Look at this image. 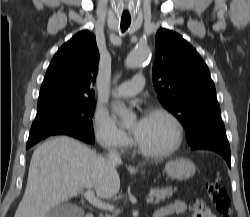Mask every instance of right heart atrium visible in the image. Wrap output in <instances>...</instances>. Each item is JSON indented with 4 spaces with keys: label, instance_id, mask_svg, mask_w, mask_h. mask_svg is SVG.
Segmentation results:
<instances>
[{
    "label": "right heart atrium",
    "instance_id": "right-heart-atrium-1",
    "mask_svg": "<svg viewBox=\"0 0 250 217\" xmlns=\"http://www.w3.org/2000/svg\"><path fill=\"white\" fill-rule=\"evenodd\" d=\"M93 131L97 142L106 149L125 152L131 146L129 136L104 111H96L93 120Z\"/></svg>",
    "mask_w": 250,
    "mask_h": 217
}]
</instances>
